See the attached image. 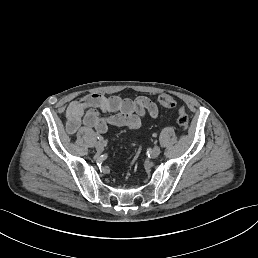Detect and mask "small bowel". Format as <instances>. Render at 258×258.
Segmentation results:
<instances>
[{"mask_svg": "<svg viewBox=\"0 0 258 258\" xmlns=\"http://www.w3.org/2000/svg\"><path fill=\"white\" fill-rule=\"evenodd\" d=\"M100 112L110 115L102 117ZM158 113L156 103L148 97L140 96L132 100L93 93L80 97L68 105L66 128L69 134H75L82 125L101 134L106 133L110 127L137 129L146 114L156 118Z\"/></svg>", "mask_w": 258, "mask_h": 258, "instance_id": "small-bowel-1", "label": "small bowel"}]
</instances>
